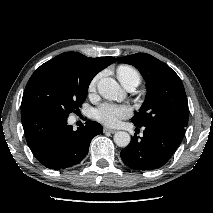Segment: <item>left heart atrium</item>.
<instances>
[{"label": "left heart atrium", "mask_w": 213, "mask_h": 213, "mask_svg": "<svg viewBox=\"0 0 213 213\" xmlns=\"http://www.w3.org/2000/svg\"><path fill=\"white\" fill-rule=\"evenodd\" d=\"M131 115V108L127 105L103 103L93 111L94 118L107 126H116L122 119Z\"/></svg>", "instance_id": "left-heart-atrium-1"}]
</instances>
